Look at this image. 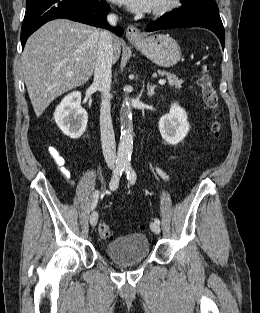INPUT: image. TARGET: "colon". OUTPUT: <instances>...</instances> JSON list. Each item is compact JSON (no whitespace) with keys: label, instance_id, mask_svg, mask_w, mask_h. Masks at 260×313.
Listing matches in <instances>:
<instances>
[{"label":"colon","instance_id":"1","mask_svg":"<svg viewBox=\"0 0 260 313\" xmlns=\"http://www.w3.org/2000/svg\"><path fill=\"white\" fill-rule=\"evenodd\" d=\"M208 72L209 66L204 65L197 79V84L201 89L205 105L214 113L215 120L212 124V131L216 136H219L222 131V125L218 118L219 97ZM98 232L99 236L103 239H111L113 237V231L111 227L105 223H101L99 225Z\"/></svg>","mask_w":260,"mask_h":313}]
</instances>
